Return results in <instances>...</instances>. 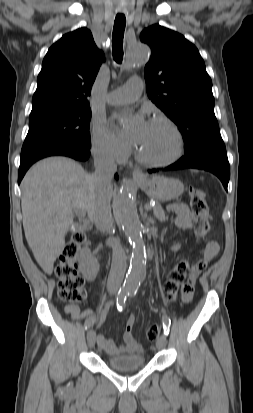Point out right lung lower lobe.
Listing matches in <instances>:
<instances>
[{
	"instance_id": "obj_1",
	"label": "right lung lower lobe",
	"mask_w": 253,
	"mask_h": 413,
	"mask_svg": "<svg viewBox=\"0 0 253 413\" xmlns=\"http://www.w3.org/2000/svg\"><path fill=\"white\" fill-rule=\"evenodd\" d=\"M54 155H63L74 158L76 160L85 161L90 156V148L80 147V146H58L52 147L32 153H27L21 155L20 167L18 172V183L21 182L23 176L29 167L36 161ZM118 176L115 175V178Z\"/></svg>"
}]
</instances>
